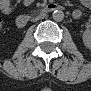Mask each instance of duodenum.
<instances>
[{
  "label": "duodenum",
  "mask_w": 91,
  "mask_h": 91,
  "mask_svg": "<svg viewBox=\"0 0 91 91\" xmlns=\"http://www.w3.org/2000/svg\"><path fill=\"white\" fill-rule=\"evenodd\" d=\"M61 6L57 3H49L42 7L40 10L41 14H47L56 10H60ZM30 21V16L28 14H21L16 18V26L18 28H24Z\"/></svg>",
  "instance_id": "1"
}]
</instances>
